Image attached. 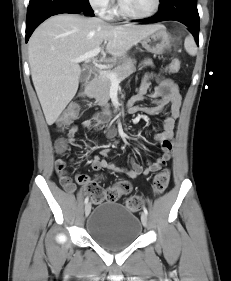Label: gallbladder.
Listing matches in <instances>:
<instances>
[{"label": "gallbladder", "instance_id": "1", "mask_svg": "<svg viewBox=\"0 0 231 281\" xmlns=\"http://www.w3.org/2000/svg\"><path fill=\"white\" fill-rule=\"evenodd\" d=\"M88 78V73L86 71H82L79 77V81L83 82Z\"/></svg>", "mask_w": 231, "mask_h": 281}]
</instances>
